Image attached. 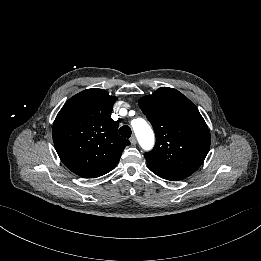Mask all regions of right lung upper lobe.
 Listing matches in <instances>:
<instances>
[{
    "mask_svg": "<svg viewBox=\"0 0 261 261\" xmlns=\"http://www.w3.org/2000/svg\"><path fill=\"white\" fill-rule=\"evenodd\" d=\"M116 97L102 89L84 90L70 98L58 113L52 130L56 151L75 174L96 178L111 171L130 144L117 134L111 118Z\"/></svg>",
    "mask_w": 261,
    "mask_h": 261,
    "instance_id": "cb5924a9",
    "label": "right lung upper lobe"
}]
</instances>
